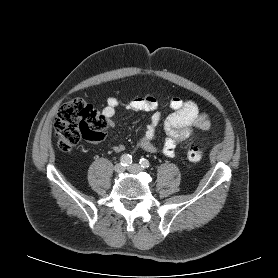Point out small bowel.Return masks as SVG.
I'll list each match as a JSON object with an SVG mask.
<instances>
[{
    "instance_id": "obj_1",
    "label": "small bowel",
    "mask_w": 278,
    "mask_h": 278,
    "mask_svg": "<svg viewBox=\"0 0 278 278\" xmlns=\"http://www.w3.org/2000/svg\"><path fill=\"white\" fill-rule=\"evenodd\" d=\"M121 106L122 104L118 99L114 97L108 99L106 106L102 110L108 126H112L116 110ZM169 106L172 113L163 122L166 139L161 151L165 156L173 157L179 142L189 138L195 130L209 129L211 122L208 115L200 111L194 101L173 97L169 102ZM126 108L132 111L153 112L150 123L144 135L141 136L138 146L140 149L150 153L158 152L159 149L153 144L156 128L161 122V114L157 110V99L152 95L136 97L127 103ZM112 149L115 152H121L125 147L122 144H117Z\"/></svg>"
}]
</instances>
